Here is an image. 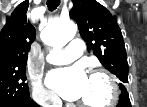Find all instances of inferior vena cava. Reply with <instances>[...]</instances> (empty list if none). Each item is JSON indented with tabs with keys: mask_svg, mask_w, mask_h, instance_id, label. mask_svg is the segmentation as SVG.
Segmentation results:
<instances>
[{
	"mask_svg": "<svg viewBox=\"0 0 147 107\" xmlns=\"http://www.w3.org/2000/svg\"><path fill=\"white\" fill-rule=\"evenodd\" d=\"M53 102L55 105L53 107H62V101L57 97H52Z\"/></svg>",
	"mask_w": 147,
	"mask_h": 107,
	"instance_id": "602c4592",
	"label": "inferior vena cava"
}]
</instances>
